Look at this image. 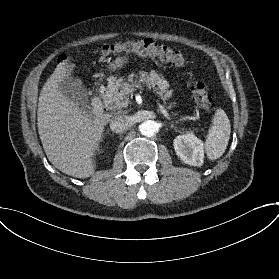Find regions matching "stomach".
<instances>
[{"instance_id":"1","label":"stomach","mask_w":279,"mask_h":279,"mask_svg":"<svg viewBox=\"0 0 279 279\" xmlns=\"http://www.w3.org/2000/svg\"><path fill=\"white\" fill-rule=\"evenodd\" d=\"M131 58L128 54L123 53L116 56L112 61L107 64V71L109 73H115L125 68V66L130 63ZM175 102L172 103V106H175Z\"/></svg>"}]
</instances>
